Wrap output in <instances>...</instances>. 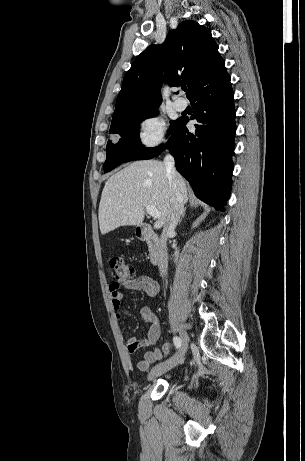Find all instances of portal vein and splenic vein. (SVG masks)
<instances>
[{
  "instance_id": "portal-vein-and-splenic-vein-1",
  "label": "portal vein and splenic vein",
  "mask_w": 305,
  "mask_h": 461,
  "mask_svg": "<svg viewBox=\"0 0 305 461\" xmlns=\"http://www.w3.org/2000/svg\"><path fill=\"white\" fill-rule=\"evenodd\" d=\"M147 213L152 216L153 218H160V212L153 206H146Z\"/></svg>"
}]
</instances>
